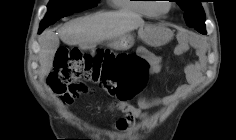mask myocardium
<instances>
[{"mask_svg":"<svg viewBox=\"0 0 236 140\" xmlns=\"http://www.w3.org/2000/svg\"><path fill=\"white\" fill-rule=\"evenodd\" d=\"M168 8L167 10L165 11H162L160 8H159V5L158 4H154L153 5V11L154 13L156 14V16H159V17H164L166 16L170 11L171 9L173 8V5L171 3L168 4Z\"/></svg>","mask_w":236,"mask_h":140,"instance_id":"f54148a6","label":"myocardium"}]
</instances>
